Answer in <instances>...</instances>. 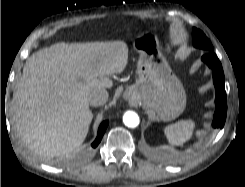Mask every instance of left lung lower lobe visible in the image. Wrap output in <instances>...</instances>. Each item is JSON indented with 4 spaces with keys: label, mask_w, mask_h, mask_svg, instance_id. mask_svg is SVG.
<instances>
[{
    "label": "left lung lower lobe",
    "mask_w": 245,
    "mask_h": 187,
    "mask_svg": "<svg viewBox=\"0 0 245 187\" xmlns=\"http://www.w3.org/2000/svg\"><path fill=\"white\" fill-rule=\"evenodd\" d=\"M202 61L212 69L213 82L216 90V110L214 113L212 126L213 128H223L227 114V98L222 65L214 52H208L202 57Z\"/></svg>",
    "instance_id": "left-lung-lower-lobe-1"
}]
</instances>
